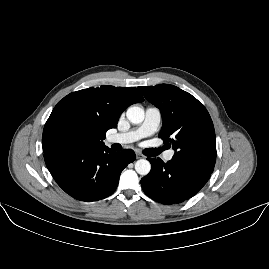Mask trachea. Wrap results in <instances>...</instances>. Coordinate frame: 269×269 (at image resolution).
I'll return each mask as SVG.
<instances>
[{
  "label": "trachea",
  "instance_id": "trachea-1",
  "mask_svg": "<svg viewBox=\"0 0 269 269\" xmlns=\"http://www.w3.org/2000/svg\"><path fill=\"white\" fill-rule=\"evenodd\" d=\"M165 147L163 148H158V149H146L144 150V154L146 156H151V157H154V156H157L162 150H164Z\"/></svg>",
  "mask_w": 269,
  "mask_h": 269
}]
</instances>
